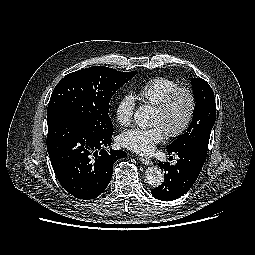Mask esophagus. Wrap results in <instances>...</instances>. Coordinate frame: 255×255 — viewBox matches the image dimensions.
<instances>
[{"label":"esophagus","mask_w":255,"mask_h":255,"mask_svg":"<svg viewBox=\"0 0 255 255\" xmlns=\"http://www.w3.org/2000/svg\"><path fill=\"white\" fill-rule=\"evenodd\" d=\"M140 162L145 164V165H152L153 161L149 158H145V157H140L139 158Z\"/></svg>","instance_id":"esophagus-1"}]
</instances>
